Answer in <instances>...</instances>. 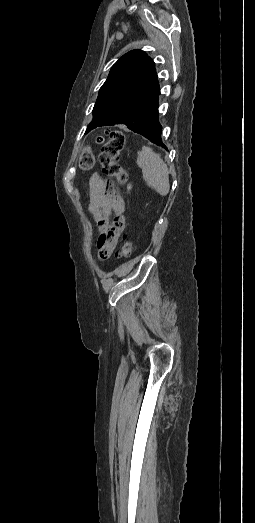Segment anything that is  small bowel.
<instances>
[{
	"label": "small bowel",
	"mask_w": 255,
	"mask_h": 523,
	"mask_svg": "<svg viewBox=\"0 0 255 523\" xmlns=\"http://www.w3.org/2000/svg\"><path fill=\"white\" fill-rule=\"evenodd\" d=\"M88 211L98 226V257H111L125 228V204L117 189L98 175L90 178Z\"/></svg>",
	"instance_id": "1"
}]
</instances>
